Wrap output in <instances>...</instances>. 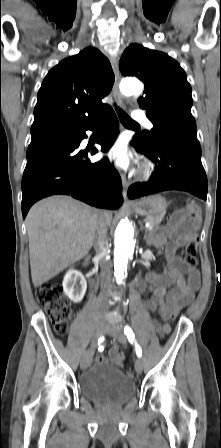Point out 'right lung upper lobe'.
I'll return each mask as SVG.
<instances>
[{"mask_svg":"<svg viewBox=\"0 0 221 448\" xmlns=\"http://www.w3.org/2000/svg\"><path fill=\"white\" fill-rule=\"evenodd\" d=\"M113 83L108 59L93 47L62 60L48 72L38 91L30 144L94 121L110 107L102 99Z\"/></svg>","mask_w":221,"mask_h":448,"instance_id":"1","label":"right lung upper lobe"}]
</instances>
